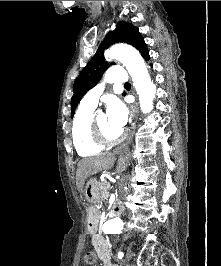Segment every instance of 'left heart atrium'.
<instances>
[{"label": "left heart atrium", "mask_w": 221, "mask_h": 266, "mask_svg": "<svg viewBox=\"0 0 221 266\" xmlns=\"http://www.w3.org/2000/svg\"><path fill=\"white\" fill-rule=\"evenodd\" d=\"M107 118L110 124L122 131L127 123L128 112L125 105L118 99H111L107 103Z\"/></svg>", "instance_id": "left-heart-atrium-1"}]
</instances>
